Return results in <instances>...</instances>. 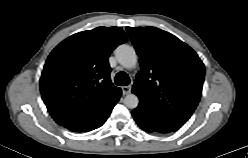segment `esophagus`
<instances>
[{
    "label": "esophagus",
    "mask_w": 248,
    "mask_h": 158,
    "mask_svg": "<svg viewBox=\"0 0 248 158\" xmlns=\"http://www.w3.org/2000/svg\"><path fill=\"white\" fill-rule=\"evenodd\" d=\"M122 92L124 95L130 94L131 93V87L130 86H123Z\"/></svg>",
    "instance_id": "1"
}]
</instances>
